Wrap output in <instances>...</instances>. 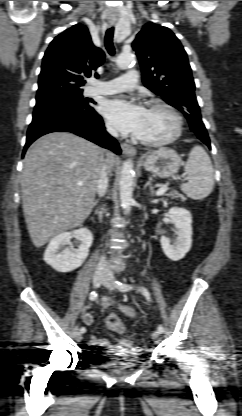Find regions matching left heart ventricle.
Wrapping results in <instances>:
<instances>
[{
  "label": "left heart ventricle",
  "mask_w": 242,
  "mask_h": 416,
  "mask_svg": "<svg viewBox=\"0 0 242 416\" xmlns=\"http://www.w3.org/2000/svg\"><path fill=\"white\" fill-rule=\"evenodd\" d=\"M173 128L174 119L169 112L161 108H148L136 136L144 140H160L170 135Z\"/></svg>",
  "instance_id": "left-heart-ventricle-1"
}]
</instances>
